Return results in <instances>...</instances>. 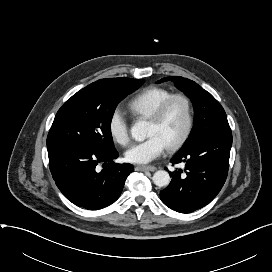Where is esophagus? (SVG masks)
I'll return each mask as SVG.
<instances>
[{"label":"esophagus","instance_id":"34e87169","mask_svg":"<svg viewBox=\"0 0 272 272\" xmlns=\"http://www.w3.org/2000/svg\"><path fill=\"white\" fill-rule=\"evenodd\" d=\"M136 170H138V171H155L156 167H154V166H136Z\"/></svg>","mask_w":272,"mask_h":272}]
</instances>
